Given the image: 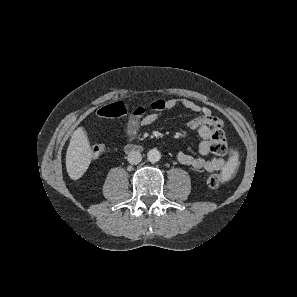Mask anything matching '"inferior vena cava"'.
Masks as SVG:
<instances>
[{
	"label": "inferior vena cava",
	"instance_id": "1",
	"mask_svg": "<svg viewBox=\"0 0 297 297\" xmlns=\"http://www.w3.org/2000/svg\"><path fill=\"white\" fill-rule=\"evenodd\" d=\"M127 160L130 164H138L142 160V155L139 151L134 150L129 152Z\"/></svg>",
	"mask_w": 297,
	"mask_h": 297
}]
</instances>
